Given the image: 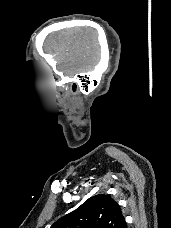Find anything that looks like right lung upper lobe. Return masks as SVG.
Here are the masks:
<instances>
[{
  "instance_id": "obj_1",
  "label": "right lung upper lobe",
  "mask_w": 171,
  "mask_h": 228,
  "mask_svg": "<svg viewBox=\"0 0 171 228\" xmlns=\"http://www.w3.org/2000/svg\"><path fill=\"white\" fill-rule=\"evenodd\" d=\"M50 228H126V222L117 202L108 195L99 194Z\"/></svg>"
}]
</instances>
